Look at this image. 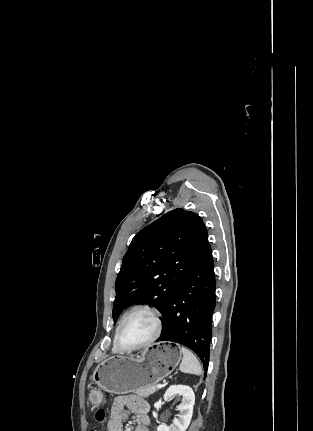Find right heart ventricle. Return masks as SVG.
Wrapping results in <instances>:
<instances>
[{
	"label": "right heart ventricle",
	"instance_id": "e07e8e85",
	"mask_svg": "<svg viewBox=\"0 0 313 431\" xmlns=\"http://www.w3.org/2000/svg\"><path fill=\"white\" fill-rule=\"evenodd\" d=\"M117 330V329H116ZM113 350L115 351V352H118L119 351V349L117 348V346L115 345V342H114V344H113Z\"/></svg>",
	"mask_w": 313,
	"mask_h": 431
}]
</instances>
